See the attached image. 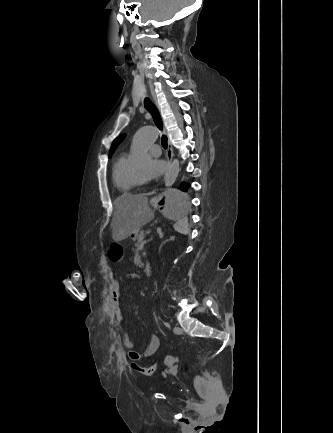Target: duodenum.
Returning <instances> with one entry per match:
<instances>
[{
	"label": "duodenum",
	"mask_w": 333,
	"mask_h": 433,
	"mask_svg": "<svg viewBox=\"0 0 333 433\" xmlns=\"http://www.w3.org/2000/svg\"><path fill=\"white\" fill-rule=\"evenodd\" d=\"M144 272H145L146 276H150L151 275V273H152V266H151V264L149 262H146L144 264Z\"/></svg>",
	"instance_id": "obj_1"
}]
</instances>
